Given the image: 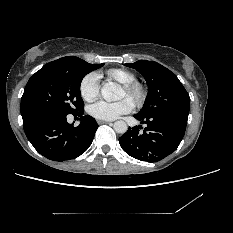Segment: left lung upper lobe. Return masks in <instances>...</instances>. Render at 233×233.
Instances as JSON below:
<instances>
[{"label": "left lung upper lobe", "mask_w": 233, "mask_h": 233, "mask_svg": "<svg viewBox=\"0 0 233 233\" xmlns=\"http://www.w3.org/2000/svg\"><path fill=\"white\" fill-rule=\"evenodd\" d=\"M124 65L136 69L148 84L146 101L142 110L136 115L188 117L190 97L173 72L154 61L139 60Z\"/></svg>", "instance_id": "obj_1"}]
</instances>
